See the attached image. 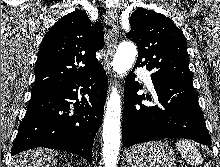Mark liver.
Segmentation results:
<instances>
[{"label": "liver", "mask_w": 220, "mask_h": 167, "mask_svg": "<svg viewBox=\"0 0 220 167\" xmlns=\"http://www.w3.org/2000/svg\"><path fill=\"white\" fill-rule=\"evenodd\" d=\"M57 152L49 149L37 148L16 155L12 160V167H49L57 163Z\"/></svg>", "instance_id": "1"}]
</instances>
